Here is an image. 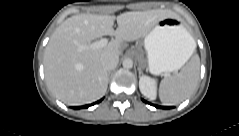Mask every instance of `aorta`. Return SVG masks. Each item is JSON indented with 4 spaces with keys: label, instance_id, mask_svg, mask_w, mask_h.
<instances>
[{
    "label": "aorta",
    "instance_id": "obj_1",
    "mask_svg": "<svg viewBox=\"0 0 239 136\" xmlns=\"http://www.w3.org/2000/svg\"><path fill=\"white\" fill-rule=\"evenodd\" d=\"M123 67L126 68V69H130L133 67V61L129 58H126L123 60V63H122Z\"/></svg>",
    "mask_w": 239,
    "mask_h": 136
}]
</instances>
